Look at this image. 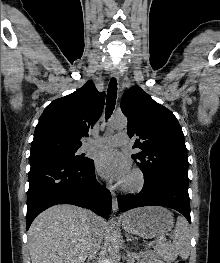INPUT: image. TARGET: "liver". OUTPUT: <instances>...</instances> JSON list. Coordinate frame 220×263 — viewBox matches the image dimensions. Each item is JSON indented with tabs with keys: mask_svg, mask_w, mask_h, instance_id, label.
<instances>
[{
	"mask_svg": "<svg viewBox=\"0 0 220 263\" xmlns=\"http://www.w3.org/2000/svg\"><path fill=\"white\" fill-rule=\"evenodd\" d=\"M105 227L103 218L73 205L48 208L32 222L28 245L32 263H84L91 227Z\"/></svg>",
	"mask_w": 220,
	"mask_h": 263,
	"instance_id": "1",
	"label": "liver"
}]
</instances>
